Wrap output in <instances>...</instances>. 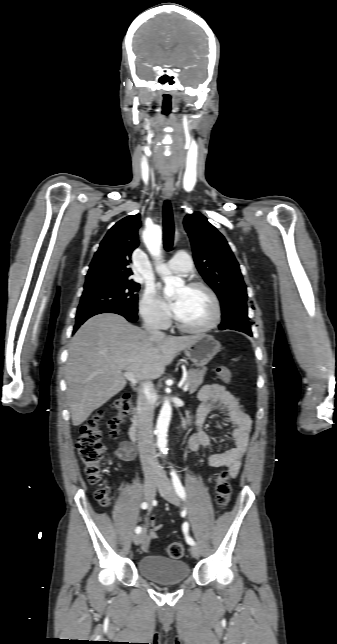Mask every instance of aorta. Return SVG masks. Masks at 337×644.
I'll use <instances>...</instances> for the list:
<instances>
[{
	"label": "aorta",
	"mask_w": 337,
	"mask_h": 644,
	"mask_svg": "<svg viewBox=\"0 0 337 644\" xmlns=\"http://www.w3.org/2000/svg\"><path fill=\"white\" fill-rule=\"evenodd\" d=\"M145 244L150 252V254L158 261L161 262V246H162V236L161 231L158 228L147 231L144 236ZM159 272L162 275V279L165 283L164 293L167 296H171L175 291L184 286V280L179 277L171 276L170 272L164 267H159ZM172 415V407L168 400L164 401V404L161 408L159 417L156 424V437H157V446L163 454L167 453V433L169 428V423Z\"/></svg>",
	"instance_id": "aorta-1"
}]
</instances>
